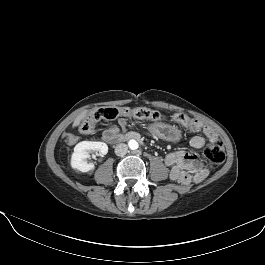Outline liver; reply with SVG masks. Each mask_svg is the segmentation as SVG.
I'll use <instances>...</instances> for the list:
<instances>
[{
    "mask_svg": "<svg viewBox=\"0 0 265 265\" xmlns=\"http://www.w3.org/2000/svg\"><path fill=\"white\" fill-rule=\"evenodd\" d=\"M88 113V110H85L83 112H81L75 119L73 122V127H77L80 125V123L86 118Z\"/></svg>",
    "mask_w": 265,
    "mask_h": 265,
    "instance_id": "obj_1",
    "label": "liver"
}]
</instances>
